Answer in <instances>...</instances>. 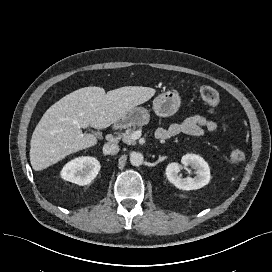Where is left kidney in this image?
Wrapping results in <instances>:
<instances>
[{
    "label": "left kidney",
    "mask_w": 272,
    "mask_h": 272,
    "mask_svg": "<svg viewBox=\"0 0 272 272\" xmlns=\"http://www.w3.org/2000/svg\"><path fill=\"white\" fill-rule=\"evenodd\" d=\"M181 163L184 166H191L195 169L196 176L182 178L179 175L180 165L177 162L169 163L166 167V176L170 183L182 190H196L204 187L210 182V168L208 163L199 155L186 154L182 157Z\"/></svg>",
    "instance_id": "1"
}]
</instances>
